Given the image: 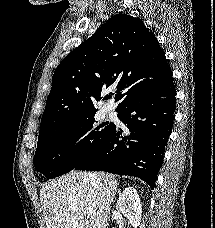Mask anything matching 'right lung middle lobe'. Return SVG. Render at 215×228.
<instances>
[{
    "instance_id": "dd1d6c3e",
    "label": "right lung middle lobe",
    "mask_w": 215,
    "mask_h": 228,
    "mask_svg": "<svg viewBox=\"0 0 215 228\" xmlns=\"http://www.w3.org/2000/svg\"><path fill=\"white\" fill-rule=\"evenodd\" d=\"M94 115L40 128L35 169L52 179L73 170L90 155L114 128L113 123L95 126Z\"/></svg>"
}]
</instances>
